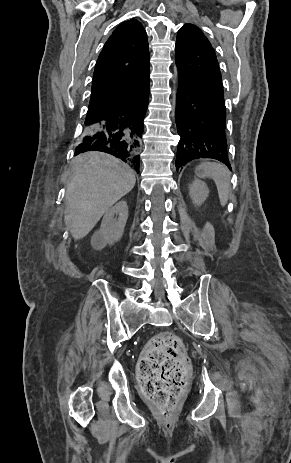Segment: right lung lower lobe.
Returning a JSON list of instances; mask_svg holds the SVG:
<instances>
[{"label":"right lung lower lobe","mask_w":291,"mask_h":463,"mask_svg":"<svg viewBox=\"0 0 291 463\" xmlns=\"http://www.w3.org/2000/svg\"><path fill=\"white\" fill-rule=\"evenodd\" d=\"M149 100V84L126 98L117 108L85 123L81 144L75 155L94 150L109 153L139 172V150L143 120Z\"/></svg>","instance_id":"1"}]
</instances>
